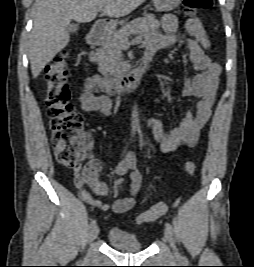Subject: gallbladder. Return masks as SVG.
I'll list each match as a JSON object with an SVG mask.
<instances>
[{"label":"gallbladder","mask_w":254,"mask_h":267,"mask_svg":"<svg viewBox=\"0 0 254 267\" xmlns=\"http://www.w3.org/2000/svg\"><path fill=\"white\" fill-rule=\"evenodd\" d=\"M79 28V25L76 23H72L68 26V31L69 32H76Z\"/></svg>","instance_id":"obj_1"}]
</instances>
